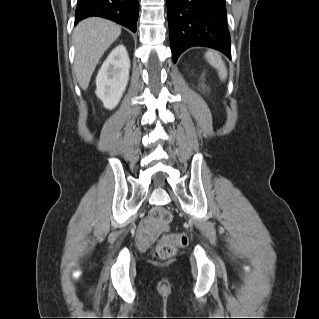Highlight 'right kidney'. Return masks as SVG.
I'll return each instance as SVG.
<instances>
[{
    "instance_id": "right-kidney-1",
    "label": "right kidney",
    "mask_w": 319,
    "mask_h": 319,
    "mask_svg": "<svg viewBox=\"0 0 319 319\" xmlns=\"http://www.w3.org/2000/svg\"><path fill=\"white\" fill-rule=\"evenodd\" d=\"M130 59L123 45L117 46L102 64L96 77V95L107 109H114L128 84Z\"/></svg>"
}]
</instances>
